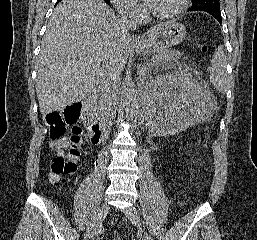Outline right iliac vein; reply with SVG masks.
Masks as SVG:
<instances>
[{"instance_id": "right-iliac-vein-1", "label": "right iliac vein", "mask_w": 257, "mask_h": 240, "mask_svg": "<svg viewBox=\"0 0 257 240\" xmlns=\"http://www.w3.org/2000/svg\"><path fill=\"white\" fill-rule=\"evenodd\" d=\"M109 210V206L107 203H102L97 209L92 221L90 222L86 232H85V240L91 239L98 228L100 227L102 221L104 220L107 212Z\"/></svg>"}]
</instances>
